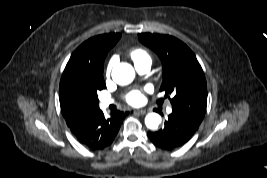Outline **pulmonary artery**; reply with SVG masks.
Segmentation results:
<instances>
[{
    "label": "pulmonary artery",
    "mask_w": 267,
    "mask_h": 178,
    "mask_svg": "<svg viewBox=\"0 0 267 178\" xmlns=\"http://www.w3.org/2000/svg\"><path fill=\"white\" fill-rule=\"evenodd\" d=\"M150 67H151V61H145L142 63L135 64L136 70L141 74L147 73L150 70ZM111 103H112L111 99H103L101 101V106H102V108H105ZM171 112H172V110L170 108L167 109V113L170 114Z\"/></svg>",
    "instance_id": "1"
}]
</instances>
